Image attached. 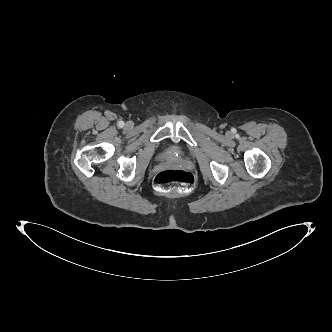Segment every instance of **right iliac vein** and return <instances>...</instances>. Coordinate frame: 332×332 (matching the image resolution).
I'll use <instances>...</instances> for the list:
<instances>
[{
    "label": "right iliac vein",
    "mask_w": 332,
    "mask_h": 332,
    "mask_svg": "<svg viewBox=\"0 0 332 332\" xmlns=\"http://www.w3.org/2000/svg\"><path fill=\"white\" fill-rule=\"evenodd\" d=\"M127 126H128V127H130V126H131V123H130V122H128V123H127Z\"/></svg>",
    "instance_id": "1"
}]
</instances>
